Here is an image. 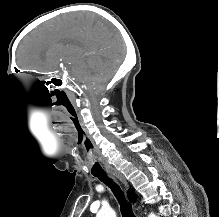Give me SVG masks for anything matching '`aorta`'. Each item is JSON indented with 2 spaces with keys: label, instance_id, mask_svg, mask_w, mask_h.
<instances>
[{
  "label": "aorta",
  "instance_id": "762f6f07",
  "mask_svg": "<svg viewBox=\"0 0 219 217\" xmlns=\"http://www.w3.org/2000/svg\"><path fill=\"white\" fill-rule=\"evenodd\" d=\"M96 217H116V213L109 207H103L96 215ZM148 217H157L151 213Z\"/></svg>",
  "mask_w": 219,
  "mask_h": 217
}]
</instances>
